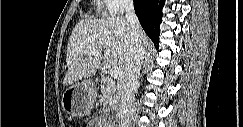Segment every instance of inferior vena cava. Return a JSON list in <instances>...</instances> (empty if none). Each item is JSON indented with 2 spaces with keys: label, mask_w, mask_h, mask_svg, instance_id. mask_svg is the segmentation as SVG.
Wrapping results in <instances>:
<instances>
[{
  "label": "inferior vena cava",
  "mask_w": 243,
  "mask_h": 127,
  "mask_svg": "<svg viewBox=\"0 0 243 127\" xmlns=\"http://www.w3.org/2000/svg\"><path fill=\"white\" fill-rule=\"evenodd\" d=\"M125 18L131 27L126 65L121 80V102L119 127H130L134 115L138 78L144 59V45L141 40V27L135 14L133 0H124Z\"/></svg>",
  "instance_id": "inferior-vena-cava-1"
}]
</instances>
